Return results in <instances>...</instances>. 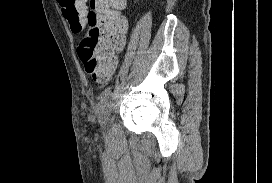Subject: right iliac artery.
Listing matches in <instances>:
<instances>
[{
  "mask_svg": "<svg viewBox=\"0 0 272 183\" xmlns=\"http://www.w3.org/2000/svg\"><path fill=\"white\" fill-rule=\"evenodd\" d=\"M111 95V87L106 88L100 95V101L103 103Z\"/></svg>",
  "mask_w": 272,
  "mask_h": 183,
  "instance_id": "1",
  "label": "right iliac artery"
}]
</instances>
